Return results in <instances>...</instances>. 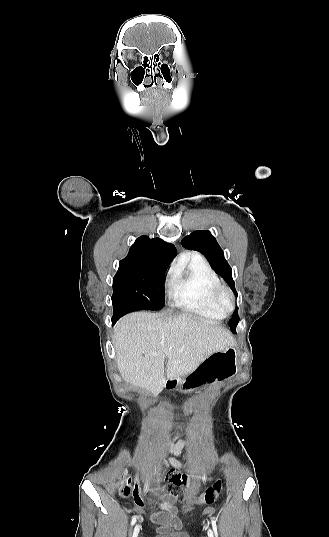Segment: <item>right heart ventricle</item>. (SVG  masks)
<instances>
[{"label":"right heart ventricle","instance_id":"e07e8e85","mask_svg":"<svg viewBox=\"0 0 329 537\" xmlns=\"http://www.w3.org/2000/svg\"><path fill=\"white\" fill-rule=\"evenodd\" d=\"M220 284L208 262L199 255H193L174 271L169 285V297L175 307L185 312L222 319L225 314L215 306L212 299L214 288Z\"/></svg>","mask_w":329,"mask_h":537}]
</instances>
